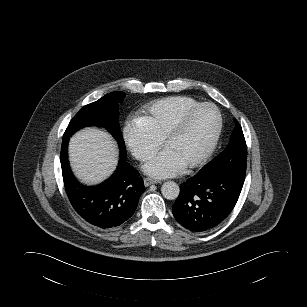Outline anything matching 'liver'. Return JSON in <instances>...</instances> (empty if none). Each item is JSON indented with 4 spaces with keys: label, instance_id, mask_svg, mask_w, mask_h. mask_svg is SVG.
Returning a JSON list of instances; mask_svg holds the SVG:
<instances>
[{
    "label": "liver",
    "instance_id": "liver-1",
    "mask_svg": "<svg viewBox=\"0 0 307 307\" xmlns=\"http://www.w3.org/2000/svg\"><path fill=\"white\" fill-rule=\"evenodd\" d=\"M118 147L112 136L98 128L76 132L69 142V160L75 176L86 184H97L115 170Z\"/></svg>",
    "mask_w": 307,
    "mask_h": 307
}]
</instances>
